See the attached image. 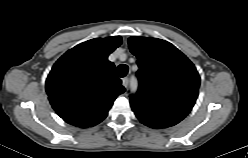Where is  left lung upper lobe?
Instances as JSON below:
<instances>
[{
    "label": "left lung upper lobe",
    "instance_id": "5c2ea615",
    "mask_svg": "<svg viewBox=\"0 0 248 158\" xmlns=\"http://www.w3.org/2000/svg\"><path fill=\"white\" fill-rule=\"evenodd\" d=\"M128 44L139 66V88L130 98L136 117L155 129L179 123L198 96L200 77L195 66L165 40L132 36Z\"/></svg>",
    "mask_w": 248,
    "mask_h": 158
}]
</instances>
